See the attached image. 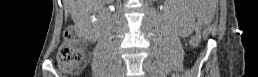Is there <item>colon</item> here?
Wrapping results in <instances>:
<instances>
[{
    "instance_id": "1",
    "label": "colon",
    "mask_w": 258,
    "mask_h": 77,
    "mask_svg": "<svg viewBox=\"0 0 258 77\" xmlns=\"http://www.w3.org/2000/svg\"><path fill=\"white\" fill-rule=\"evenodd\" d=\"M57 57L63 71L72 70L84 60L79 35L74 27L66 30L64 41L58 49Z\"/></svg>"
}]
</instances>
